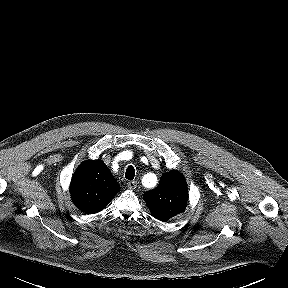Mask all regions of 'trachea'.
<instances>
[{"instance_id":"obj_1","label":"trachea","mask_w":288,"mask_h":288,"mask_svg":"<svg viewBox=\"0 0 288 288\" xmlns=\"http://www.w3.org/2000/svg\"><path fill=\"white\" fill-rule=\"evenodd\" d=\"M135 177V169L133 166H128L126 172H125V178L127 180H133Z\"/></svg>"}]
</instances>
